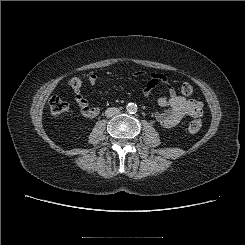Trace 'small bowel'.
Returning a JSON list of instances; mask_svg holds the SVG:
<instances>
[{"label":"small bowel","instance_id":"small-bowel-1","mask_svg":"<svg viewBox=\"0 0 245 245\" xmlns=\"http://www.w3.org/2000/svg\"><path fill=\"white\" fill-rule=\"evenodd\" d=\"M146 75L145 71H136L135 77H143ZM98 76L94 73L88 76V83L91 86L96 85ZM157 85H162L169 93L168 97L158 96L157 104L165 108L163 111H155V118L157 122L164 128H172L180 123V121L190 116L193 118L201 117L203 114L202 102L195 99H187L177 94L174 85L162 73H151L149 80L145 84L143 93L146 98L151 96L153 89ZM75 101L82 113L86 118H95L99 114V109L92 107L88 100L80 93L76 94Z\"/></svg>","mask_w":245,"mask_h":245}]
</instances>
